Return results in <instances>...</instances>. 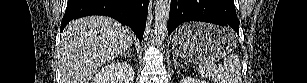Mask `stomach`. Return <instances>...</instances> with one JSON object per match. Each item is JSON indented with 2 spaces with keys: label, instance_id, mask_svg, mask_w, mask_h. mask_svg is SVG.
<instances>
[{
  "label": "stomach",
  "instance_id": "obj_1",
  "mask_svg": "<svg viewBox=\"0 0 307 83\" xmlns=\"http://www.w3.org/2000/svg\"><path fill=\"white\" fill-rule=\"evenodd\" d=\"M172 46L178 56L189 62H215L236 48L237 35L227 27L192 22L175 31Z\"/></svg>",
  "mask_w": 307,
  "mask_h": 83
}]
</instances>
